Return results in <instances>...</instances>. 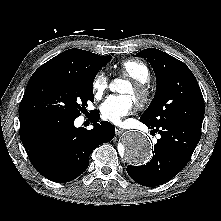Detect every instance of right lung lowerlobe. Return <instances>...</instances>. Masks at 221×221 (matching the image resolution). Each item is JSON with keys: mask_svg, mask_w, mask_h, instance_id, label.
<instances>
[{"mask_svg": "<svg viewBox=\"0 0 221 221\" xmlns=\"http://www.w3.org/2000/svg\"><path fill=\"white\" fill-rule=\"evenodd\" d=\"M93 119L94 128L86 130L76 128L75 119L56 114H20V138L34 168L58 183L80 176L89 165L91 152L115 135L112 124L97 123L95 113Z\"/></svg>", "mask_w": 221, "mask_h": 221, "instance_id": "98d812e1", "label": "right lung lower lobe"}]
</instances>
